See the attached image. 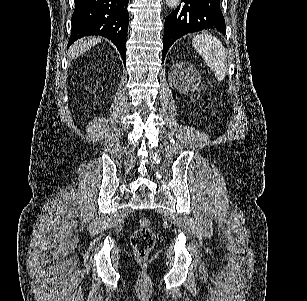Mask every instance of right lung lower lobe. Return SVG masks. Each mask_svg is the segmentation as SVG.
Returning <instances> with one entry per match:
<instances>
[{
	"label": "right lung lower lobe",
	"instance_id": "right-lung-lower-lobe-1",
	"mask_svg": "<svg viewBox=\"0 0 307 301\" xmlns=\"http://www.w3.org/2000/svg\"><path fill=\"white\" fill-rule=\"evenodd\" d=\"M72 34L68 47L89 35L104 36L112 41L126 61L125 42L128 32L129 0H75Z\"/></svg>",
	"mask_w": 307,
	"mask_h": 301
}]
</instances>
